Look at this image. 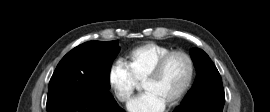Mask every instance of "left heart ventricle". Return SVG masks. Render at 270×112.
Returning a JSON list of instances; mask_svg holds the SVG:
<instances>
[{
    "instance_id": "b2bd125f",
    "label": "left heart ventricle",
    "mask_w": 270,
    "mask_h": 112,
    "mask_svg": "<svg viewBox=\"0 0 270 112\" xmlns=\"http://www.w3.org/2000/svg\"><path fill=\"white\" fill-rule=\"evenodd\" d=\"M188 75L189 65L187 60L183 56L176 55L168 61L160 77L145 83L143 90L154 93L168 104L182 90Z\"/></svg>"
}]
</instances>
